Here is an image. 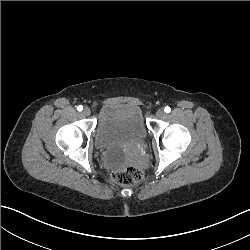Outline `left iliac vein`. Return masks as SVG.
Instances as JSON below:
<instances>
[{
    "mask_svg": "<svg viewBox=\"0 0 250 250\" xmlns=\"http://www.w3.org/2000/svg\"><path fill=\"white\" fill-rule=\"evenodd\" d=\"M156 115L158 118L162 119L165 117V112L163 109H158L157 112H156Z\"/></svg>",
    "mask_w": 250,
    "mask_h": 250,
    "instance_id": "left-iliac-vein-1",
    "label": "left iliac vein"
}]
</instances>
